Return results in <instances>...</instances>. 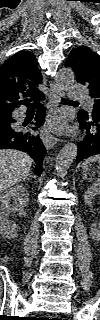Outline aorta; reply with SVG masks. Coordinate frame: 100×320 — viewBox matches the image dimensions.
Segmentation results:
<instances>
[{"instance_id": "obj_1", "label": "aorta", "mask_w": 100, "mask_h": 320, "mask_svg": "<svg viewBox=\"0 0 100 320\" xmlns=\"http://www.w3.org/2000/svg\"><path fill=\"white\" fill-rule=\"evenodd\" d=\"M57 85L62 90H68L75 81V75L70 68H61L55 77ZM78 147L74 143L66 144L58 153L55 161V168L57 175L65 177L68 173V169L73 163L77 155Z\"/></svg>"}]
</instances>
